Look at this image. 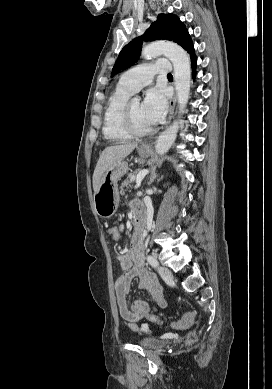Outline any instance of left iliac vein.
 <instances>
[{
	"label": "left iliac vein",
	"mask_w": 272,
	"mask_h": 389,
	"mask_svg": "<svg viewBox=\"0 0 272 389\" xmlns=\"http://www.w3.org/2000/svg\"><path fill=\"white\" fill-rule=\"evenodd\" d=\"M158 271H159V274L161 275V277H162L166 282H170V281L173 280L172 272H171L170 269H168L167 267H159V268H158Z\"/></svg>",
	"instance_id": "4c4485c4"
}]
</instances>
